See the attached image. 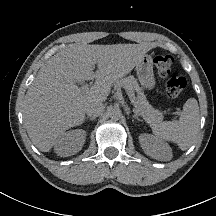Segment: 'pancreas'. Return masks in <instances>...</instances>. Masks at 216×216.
Returning a JSON list of instances; mask_svg holds the SVG:
<instances>
[{
    "instance_id": "obj_1",
    "label": "pancreas",
    "mask_w": 216,
    "mask_h": 216,
    "mask_svg": "<svg viewBox=\"0 0 216 216\" xmlns=\"http://www.w3.org/2000/svg\"><path fill=\"white\" fill-rule=\"evenodd\" d=\"M115 87H123L128 90L132 94L137 93V97L135 99L136 108L139 110L143 118L147 123L151 125H156L161 122L162 115L161 112L155 110L146 100V96L142 92L139 87L137 80L133 76H128L126 78H122L115 83Z\"/></svg>"
}]
</instances>
